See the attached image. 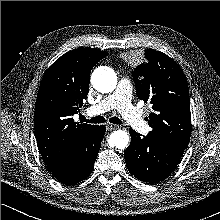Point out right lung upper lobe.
Here are the masks:
<instances>
[{
    "label": "right lung upper lobe",
    "instance_id": "obj_1",
    "mask_svg": "<svg viewBox=\"0 0 220 220\" xmlns=\"http://www.w3.org/2000/svg\"><path fill=\"white\" fill-rule=\"evenodd\" d=\"M108 55L95 48L72 50L46 71L39 87L34 121L39 151L50 171L59 168L96 126L75 123L89 90L92 67Z\"/></svg>",
    "mask_w": 220,
    "mask_h": 220
}]
</instances>
